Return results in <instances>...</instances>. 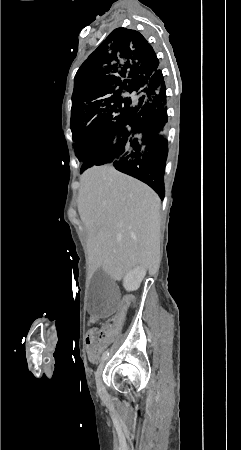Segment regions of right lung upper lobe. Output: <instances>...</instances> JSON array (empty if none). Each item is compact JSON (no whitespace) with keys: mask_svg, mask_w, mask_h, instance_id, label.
<instances>
[{"mask_svg":"<svg viewBox=\"0 0 241 450\" xmlns=\"http://www.w3.org/2000/svg\"><path fill=\"white\" fill-rule=\"evenodd\" d=\"M158 69L159 60L147 40L137 31L118 28L85 60L75 78L143 97L145 76Z\"/></svg>","mask_w":241,"mask_h":450,"instance_id":"right-lung-upper-lobe-1","label":"right lung upper lobe"}]
</instances>
